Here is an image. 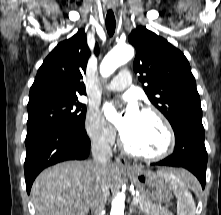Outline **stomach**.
<instances>
[{
    "label": "stomach",
    "mask_w": 221,
    "mask_h": 215,
    "mask_svg": "<svg viewBox=\"0 0 221 215\" xmlns=\"http://www.w3.org/2000/svg\"><path fill=\"white\" fill-rule=\"evenodd\" d=\"M136 189L152 203H167L172 198L170 186L164 179L149 170L134 168L128 172Z\"/></svg>",
    "instance_id": "obj_1"
}]
</instances>
